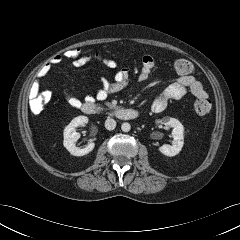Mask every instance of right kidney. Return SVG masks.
<instances>
[{
	"label": "right kidney",
	"instance_id": "obj_1",
	"mask_svg": "<svg viewBox=\"0 0 240 240\" xmlns=\"http://www.w3.org/2000/svg\"><path fill=\"white\" fill-rule=\"evenodd\" d=\"M87 123L88 118L86 116H78L65 127L63 145L71 155L84 156L94 149L95 144L93 142L89 143L85 148L75 146V142L80 138V133L76 132V128Z\"/></svg>",
	"mask_w": 240,
	"mask_h": 240
}]
</instances>
